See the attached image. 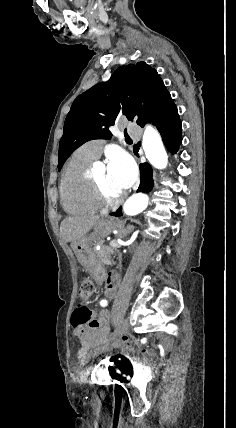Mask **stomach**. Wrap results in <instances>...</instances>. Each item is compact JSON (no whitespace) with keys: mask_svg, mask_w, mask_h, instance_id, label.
<instances>
[{"mask_svg":"<svg viewBox=\"0 0 236 428\" xmlns=\"http://www.w3.org/2000/svg\"><path fill=\"white\" fill-rule=\"evenodd\" d=\"M111 230V226H108L106 222H99L93 232L88 236H83L78 242H72L71 248L82 264L83 269H87L90 273V280L95 283L98 287H101L105 282V271L104 263L99 260L97 256H94L92 252V242H101L103 238L108 236Z\"/></svg>","mask_w":236,"mask_h":428,"instance_id":"0dacf381","label":"stomach"}]
</instances>
